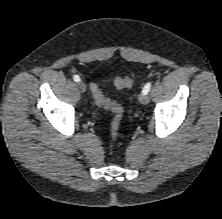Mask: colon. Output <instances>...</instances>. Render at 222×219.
Returning a JSON list of instances; mask_svg holds the SVG:
<instances>
[{
	"instance_id": "5ec220e1",
	"label": "colon",
	"mask_w": 222,
	"mask_h": 219,
	"mask_svg": "<svg viewBox=\"0 0 222 219\" xmlns=\"http://www.w3.org/2000/svg\"><path fill=\"white\" fill-rule=\"evenodd\" d=\"M134 76L115 77L113 84L118 89L128 88L132 85ZM93 96L98 106H101L109 110L113 117L110 124L111 136L115 138L118 135L121 119H122V107L116 101H113L103 95L101 90L96 86H92Z\"/></svg>"
}]
</instances>
